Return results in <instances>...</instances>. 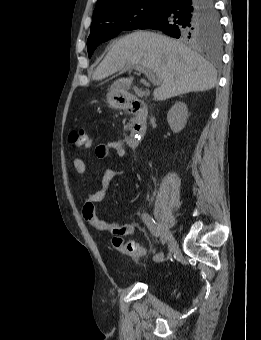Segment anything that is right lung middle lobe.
<instances>
[{
    "mask_svg": "<svg viewBox=\"0 0 261 340\" xmlns=\"http://www.w3.org/2000/svg\"><path fill=\"white\" fill-rule=\"evenodd\" d=\"M163 0H146L118 7L103 14L91 24L87 40L88 55L96 47L117 36L121 31L134 30L151 20L160 9ZM188 41L210 40L219 42L221 27L217 12L211 15L195 13L190 16L179 31V37Z\"/></svg>",
    "mask_w": 261,
    "mask_h": 340,
    "instance_id": "dd1d6c3e",
    "label": "right lung middle lobe"
}]
</instances>
